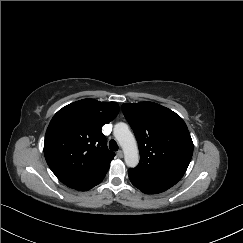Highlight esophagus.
<instances>
[{
  "label": "esophagus",
  "mask_w": 243,
  "mask_h": 243,
  "mask_svg": "<svg viewBox=\"0 0 243 243\" xmlns=\"http://www.w3.org/2000/svg\"><path fill=\"white\" fill-rule=\"evenodd\" d=\"M123 151L122 150H119L118 152H117V156L119 157V158H123Z\"/></svg>",
  "instance_id": "1"
}]
</instances>
